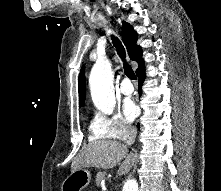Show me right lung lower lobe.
<instances>
[{"instance_id": "obj_1", "label": "right lung lower lobe", "mask_w": 221, "mask_h": 191, "mask_svg": "<svg viewBox=\"0 0 221 191\" xmlns=\"http://www.w3.org/2000/svg\"><path fill=\"white\" fill-rule=\"evenodd\" d=\"M145 70H144V67H142L140 70H138L137 72H136V74H137V76H138V78H139V84H142V82L144 81V78H145V72H144ZM141 86L139 85V88H140ZM141 90L139 89V95H141ZM138 128H139V126H138Z\"/></svg>"}]
</instances>
